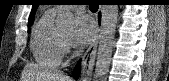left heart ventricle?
<instances>
[{
  "label": "left heart ventricle",
  "mask_w": 169,
  "mask_h": 81,
  "mask_svg": "<svg viewBox=\"0 0 169 81\" xmlns=\"http://www.w3.org/2000/svg\"><path fill=\"white\" fill-rule=\"evenodd\" d=\"M62 35H63L65 38H68L69 35H70V32H64V33H62Z\"/></svg>",
  "instance_id": "left-heart-ventricle-1"
}]
</instances>
